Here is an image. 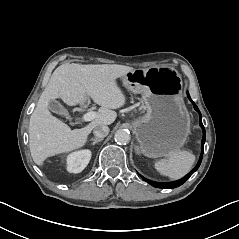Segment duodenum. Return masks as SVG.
I'll use <instances>...</instances> for the list:
<instances>
[{"label": "duodenum", "instance_id": "1", "mask_svg": "<svg viewBox=\"0 0 239 239\" xmlns=\"http://www.w3.org/2000/svg\"><path fill=\"white\" fill-rule=\"evenodd\" d=\"M87 105H88V101H87V100H83V101L81 102V107H82V108H86Z\"/></svg>", "mask_w": 239, "mask_h": 239}]
</instances>
